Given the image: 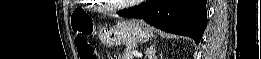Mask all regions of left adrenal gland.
Segmentation results:
<instances>
[{"mask_svg": "<svg viewBox=\"0 0 261 59\" xmlns=\"http://www.w3.org/2000/svg\"><path fill=\"white\" fill-rule=\"evenodd\" d=\"M155 54H156V50H155V45L153 44L147 49L148 59H154Z\"/></svg>", "mask_w": 261, "mask_h": 59, "instance_id": "a2214340", "label": "left adrenal gland"}]
</instances>
